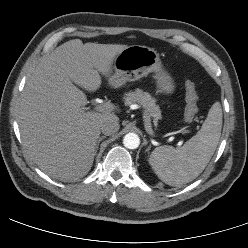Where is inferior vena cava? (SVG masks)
<instances>
[{
	"mask_svg": "<svg viewBox=\"0 0 248 248\" xmlns=\"http://www.w3.org/2000/svg\"><path fill=\"white\" fill-rule=\"evenodd\" d=\"M119 123L115 119H106L101 123L100 129L105 135H112L119 130Z\"/></svg>",
	"mask_w": 248,
	"mask_h": 248,
	"instance_id": "inferior-vena-cava-1",
	"label": "inferior vena cava"
}]
</instances>
